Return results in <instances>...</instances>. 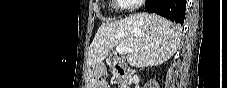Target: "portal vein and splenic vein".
Here are the masks:
<instances>
[{
	"mask_svg": "<svg viewBox=\"0 0 227 88\" xmlns=\"http://www.w3.org/2000/svg\"><path fill=\"white\" fill-rule=\"evenodd\" d=\"M129 51V49L127 47L118 45L116 46V52L119 54H126Z\"/></svg>",
	"mask_w": 227,
	"mask_h": 88,
	"instance_id": "18ae733b",
	"label": "portal vein and splenic vein"
}]
</instances>
